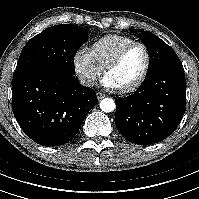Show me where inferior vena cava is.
I'll list each match as a JSON object with an SVG mask.
<instances>
[{
	"label": "inferior vena cava",
	"instance_id": "602c4592",
	"mask_svg": "<svg viewBox=\"0 0 199 199\" xmlns=\"http://www.w3.org/2000/svg\"><path fill=\"white\" fill-rule=\"evenodd\" d=\"M79 82L84 86H93L94 81L90 77L79 76Z\"/></svg>",
	"mask_w": 199,
	"mask_h": 199
}]
</instances>
